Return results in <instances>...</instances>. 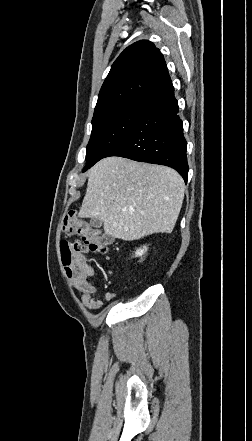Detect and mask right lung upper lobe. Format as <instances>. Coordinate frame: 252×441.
<instances>
[{
	"mask_svg": "<svg viewBox=\"0 0 252 441\" xmlns=\"http://www.w3.org/2000/svg\"><path fill=\"white\" fill-rule=\"evenodd\" d=\"M170 82L160 50L147 40L135 42L113 63L101 87L94 114L127 101L145 99Z\"/></svg>",
	"mask_w": 252,
	"mask_h": 441,
	"instance_id": "1",
	"label": "right lung upper lobe"
}]
</instances>
